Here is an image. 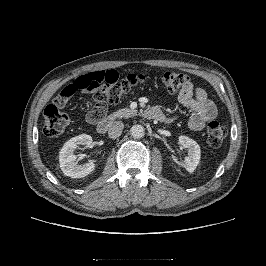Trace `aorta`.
Here are the masks:
<instances>
[{"label": "aorta", "instance_id": "1", "mask_svg": "<svg viewBox=\"0 0 266 266\" xmlns=\"http://www.w3.org/2000/svg\"><path fill=\"white\" fill-rule=\"evenodd\" d=\"M131 136L135 139H141L145 135V129L142 125H133L130 129Z\"/></svg>", "mask_w": 266, "mask_h": 266}]
</instances>
